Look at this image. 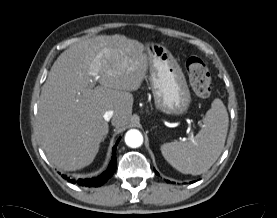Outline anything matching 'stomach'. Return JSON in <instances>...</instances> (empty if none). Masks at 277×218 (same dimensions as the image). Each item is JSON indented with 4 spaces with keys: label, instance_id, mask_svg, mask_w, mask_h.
<instances>
[{
    "label": "stomach",
    "instance_id": "stomach-1",
    "mask_svg": "<svg viewBox=\"0 0 277 218\" xmlns=\"http://www.w3.org/2000/svg\"><path fill=\"white\" fill-rule=\"evenodd\" d=\"M145 53L156 108L167 115L179 116L187 113L191 94L176 59L159 44H149Z\"/></svg>",
    "mask_w": 277,
    "mask_h": 218
}]
</instances>
